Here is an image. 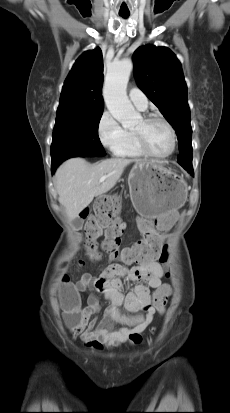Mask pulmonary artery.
<instances>
[{
	"mask_svg": "<svg viewBox=\"0 0 230 413\" xmlns=\"http://www.w3.org/2000/svg\"><path fill=\"white\" fill-rule=\"evenodd\" d=\"M129 98L134 106L139 110H145L148 106V99L146 95L138 88H131L129 90Z\"/></svg>",
	"mask_w": 230,
	"mask_h": 413,
	"instance_id": "pulmonary-artery-1",
	"label": "pulmonary artery"
}]
</instances>
